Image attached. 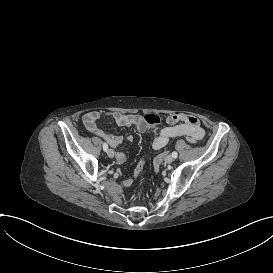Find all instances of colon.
Segmentation results:
<instances>
[{
    "label": "colon",
    "instance_id": "5ec220e1",
    "mask_svg": "<svg viewBox=\"0 0 273 273\" xmlns=\"http://www.w3.org/2000/svg\"><path fill=\"white\" fill-rule=\"evenodd\" d=\"M143 117L145 122L150 126L158 127L163 123V118L155 113H147L144 114ZM142 158L138 160V164L135 166V178L138 181H141L144 178L143 169L145 165V160Z\"/></svg>",
    "mask_w": 273,
    "mask_h": 273
}]
</instances>
